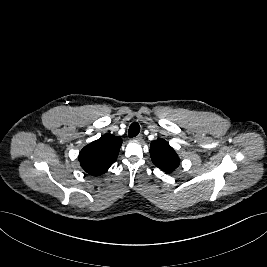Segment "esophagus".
Segmentation results:
<instances>
[{
    "instance_id": "34e87169",
    "label": "esophagus",
    "mask_w": 267,
    "mask_h": 267,
    "mask_svg": "<svg viewBox=\"0 0 267 267\" xmlns=\"http://www.w3.org/2000/svg\"><path fill=\"white\" fill-rule=\"evenodd\" d=\"M142 134L137 135L134 139L137 141H141L142 140Z\"/></svg>"
}]
</instances>
